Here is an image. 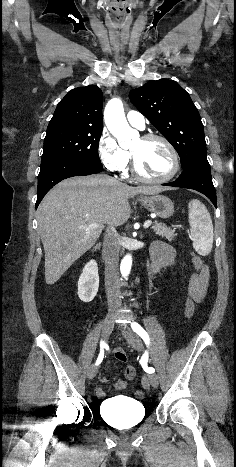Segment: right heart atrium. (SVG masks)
Listing matches in <instances>:
<instances>
[{
	"label": "right heart atrium",
	"instance_id": "d8ad5b80",
	"mask_svg": "<svg viewBox=\"0 0 236 467\" xmlns=\"http://www.w3.org/2000/svg\"><path fill=\"white\" fill-rule=\"evenodd\" d=\"M98 155L105 169L110 172H123L130 162V154L116 139L104 130L98 141Z\"/></svg>",
	"mask_w": 236,
	"mask_h": 467
}]
</instances>
